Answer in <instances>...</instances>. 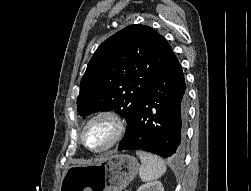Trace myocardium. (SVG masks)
I'll use <instances>...</instances> for the list:
<instances>
[{"mask_svg": "<svg viewBox=\"0 0 251 191\" xmlns=\"http://www.w3.org/2000/svg\"><path fill=\"white\" fill-rule=\"evenodd\" d=\"M97 118H106L108 120L111 121L112 125H113V137L111 142L108 144V146L106 148H104L103 150L99 151V152H93L90 151L88 149H86L83 144H82V133L84 131V129L87 127V125L93 121L94 119ZM126 131V123L124 121V119L115 111L113 110H109V109H103V110H99L94 112L93 114H91L84 122L82 127L80 128L79 134H78V143H79V147L90 153L93 155H104L107 152H109L112 148H114L123 138L124 134Z\"/></svg>", "mask_w": 251, "mask_h": 191, "instance_id": "f54148a6", "label": "myocardium"}]
</instances>
